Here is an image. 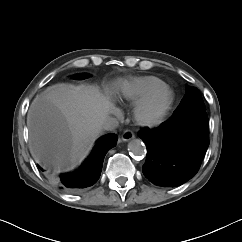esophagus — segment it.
Listing matches in <instances>:
<instances>
[{
    "label": "esophagus",
    "instance_id": "34e87169",
    "mask_svg": "<svg viewBox=\"0 0 242 242\" xmlns=\"http://www.w3.org/2000/svg\"><path fill=\"white\" fill-rule=\"evenodd\" d=\"M135 137L134 133L131 130H125L121 136L122 141H130Z\"/></svg>",
    "mask_w": 242,
    "mask_h": 242
}]
</instances>
